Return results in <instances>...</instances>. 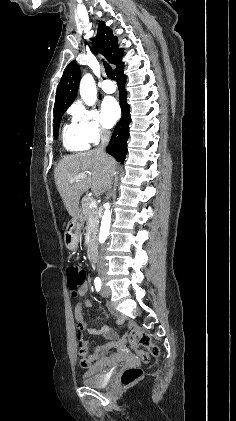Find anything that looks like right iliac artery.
Listing matches in <instances>:
<instances>
[{
	"instance_id": "1",
	"label": "right iliac artery",
	"mask_w": 236,
	"mask_h": 421,
	"mask_svg": "<svg viewBox=\"0 0 236 421\" xmlns=\"http://www.w3.org/2000/svg\"><path fill=\"white\" fill-rule=\"evenodd\" d=\"M94 284H95L96 291L99 292L102 286L101 279L99 277H96L94 280Z\"/></svg>"
}]
</instances>
